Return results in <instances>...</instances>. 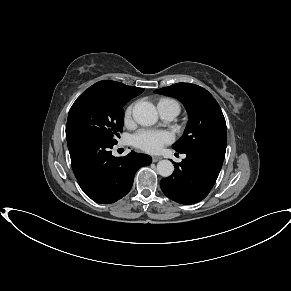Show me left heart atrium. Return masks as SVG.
<instances>
[{"instance_id": "1", "label": "left heart atrium", "mask_w": 291, "mask_h": 291, "mask_svg": "<svg viewBox=\"0 0 291 291\" xmlns=\"http://www.w3.org/2000/svg\"><path fill=\"white\" fill-rule=\"evenodd\" d=\"M173 136L167 131L140 130L132 138L133 145L148 153H157L172 142Z\"/></svg>"}]
</instances>
